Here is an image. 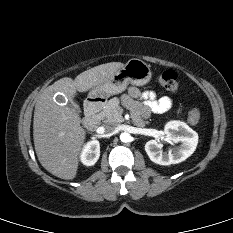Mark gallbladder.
<instances>
[{
    "instance_id": "bac80fb5",
    "label": "gallbladder",
    "mask_w": 233,
    "mask_h": 233,
    "mask_svg": "<svg viewBox=\"0 0 233 233\" xmlns=\"http://www.w3.org/2000/svg\"><path fill=\"white\" fill-rule=\"evenodd\" d=\"M69 106L73 109V110H75L76 112H78V113H80L81 111H80V108H79V106L77 105V104H75V103H69Z\"/></svg>"
}]
</instances>
